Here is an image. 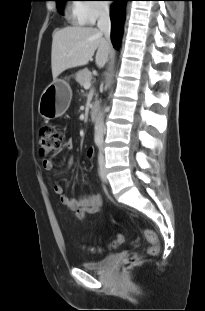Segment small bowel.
<instances>
[{
	"instance_id": "1",
	"label": "small bowel",
	"mask_w": 205,
	"mask_h": 311,
	"mask_svg": "<svg viewBox=\"0 0 205 311\" xmlns=\"http://www.w3.org/2000/svg\"><path fill=\"white\" fill-rule=\"evenodd\" d=\"M73 148V141L67 139L63 144V149L71 150ZM96 155V152L93 148H90L86 152V157L89 160H92ZM71 159L67 162V169L71 166ZM43 168L45 171L52 173L54 172L57 175L63 174L66 170L54 171V164L51 158H46L42 162ZM52 189L56 195L59 196V199L62 204L67 208L73 211L74 217L78 220H83L86 215H94L100 211L101 208V198L98 194H90L87 196L80 197L78 199L69 197L63 186L59 182L52 183Z\"/></svg>"
}]
</instances>
